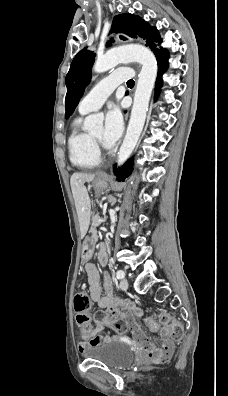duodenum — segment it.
Instances as JSON below:
<instances>
[{"label":"duodenum","mask_w":228,"mask_h":396,"mask_svg":"<svg viewBox=\"0 0 228 396\" xmlns=\"http://www.w3.org/2000/svg\"><path fill=\"white\" fill-rule=\"evenodd\" d=\"M100 262H101V264H105L106 261L104 258H101Z\"/></svg>","instance_id":"410a0bca"}]
</instances>
